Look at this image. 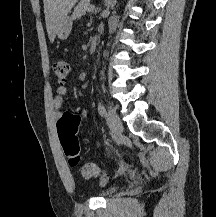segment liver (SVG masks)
<instances>
[{
    "instance_id": "1",
    "label": "liver",
    "mask_w": 216,
    "mask_h": 217,
    "mask_svg": "<svg viewBox=\"0 0 216 217\" xmlns=\"http://www.w3.org/2000/svg\"><path fill=\"white\" fill-rule=\"evenodd\" d=\"M78 0H43L46 29L51 42L64 19Z\"/></svg>"
}]
</instances>
